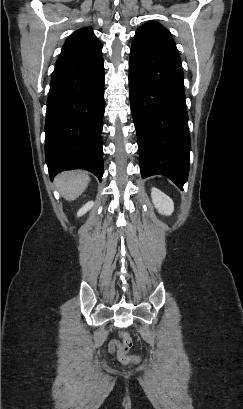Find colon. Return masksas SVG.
Returning a JSON list of instances; mask_svg holds the SVG:
<instances>
[{
    "label": "colon",
    "instance_id": "colon-1",
    "mask_svg": "<svg viewBox=\"0 0 243 409\" xmlns=\"http://www.w3.org/2000/svg\"><path fill=\"white\" fill-rule=\"evenodd\" d=\"M132 347L131 337L124 333L122 335V342L118 349L117 358L122 363H132L138 360V356L131 354L130 349Z\"/></svg>",
    "mask_w": 243,
    "mask_h": 409
}]
</instances>
